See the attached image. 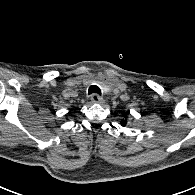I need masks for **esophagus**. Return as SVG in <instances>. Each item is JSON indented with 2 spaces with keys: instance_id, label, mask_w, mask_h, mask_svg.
<instances>
[{
  "instance_id": "1",
  "label": "esophagus",
  "mask_w": 195,
  "mask_h": 195,
  "mask_svg": "<svg viewBox=\"0 0 195 195\" xmlns=\"http://www.w3.org/2000/svg\"><path fill=\"white\" fill-rule=\"evenodd\" d=\"M91 101L93 103H102L103 102V98L97 94H92L91 95Z\"/></svg>"
}]
</instances>
